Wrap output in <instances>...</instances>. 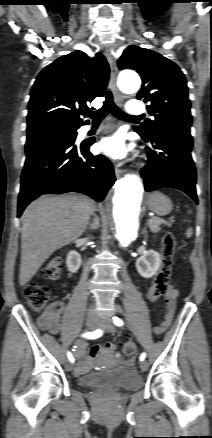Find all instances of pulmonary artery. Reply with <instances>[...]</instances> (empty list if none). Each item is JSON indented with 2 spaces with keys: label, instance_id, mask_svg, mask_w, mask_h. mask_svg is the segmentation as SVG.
Returning a JSON list of instances; mask_svg holds the SVG:
<instances>
[{
  "label": "pulmonary artery",
  "instance_id": "pulmonary-artery-1",
  "mask_svg": "<svg viewBox=\"0 0 212 438\" xmlns=\"http://www.w3.org/2000/svg\"><path fill=\"white\" fill-rule=\"evenodd\" d=\"M127 111L131 114H141L145 111V105L142 101L132 100L127 105ZM91 128L92 126L88 125L84 131H89Z\"/></svg>",
  "mask_w": 212,
  "mask_h": 438
}]
</instances>
